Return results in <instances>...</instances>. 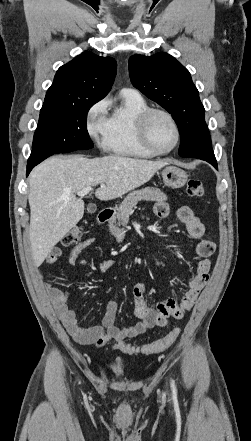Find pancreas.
Wrapping results in <instances>:
<instances>
[{"label":"pancreas","instance_id":"1","mask_svg":"<svg viewBox=\"0 0 251 441\" xmlns=\"http://www.w3.org/2000/svg\"><path fill=\"white\" fill-rule=\"evenodd\" d=\"M140 200L166 201L167 196L160 189L153 187H145L129 193L118 208L116 217L109 222L110 232L118 242H122L125 237V230L120 229L119 226L127 225L133 208Z\"/></svg>","mask_w":251,"mask_h":441}]
</instances>
